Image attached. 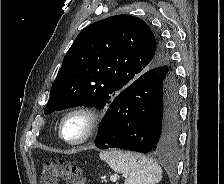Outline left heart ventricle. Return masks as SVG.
<instances>
[{"mask_svg": "<svg viewBox=\"0 0 224 184\" xmlns=\"http://www.w3.org/2000/svg\"><path fill=\"white\" fill-rule=\"evenodd\" d=\"M86 121L81 116H73L69 118L63 127V133L70 140L79 139L85 132Z\"/></svg>", "mask_w": 224, "mask_h": 184, "instance_id": "b2bd125f", "label": "left heart ventricle"}]
</instances>
